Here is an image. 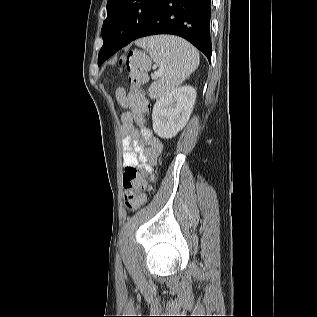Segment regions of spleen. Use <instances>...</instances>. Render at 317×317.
Returning a JSON list of instances; mask_svg holds the SVG:
<instances>
[{
    "label": "spleen",
    "instance_id": "spleen-1",
    "mask_svg": "<svg viewBox=\"0 0 317 317\" xmlns=\"http://www.w3.org/2000/svg\"><path fill=\"white\" fill-rule=\"evenodd\" d=\"M136 45L146 49L160 65L161 78L148 89L151 99H158L174 90L199 65L198 51L187 41L175 36L160 35L140 39Z\"/></svg>",
    "mask_w": 317,
    "mask_h": 317
}]
</instances>
